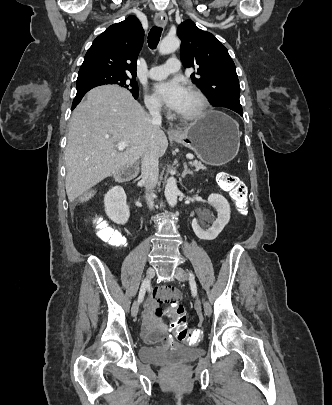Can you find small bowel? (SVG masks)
Here are the masks:
<instances>
[{
    "mask_svg": "<svg viewBox=\"0 0 332 405\" xmlns=\"http://www.w3.org/2000/svg\"><path fill=\"white\" fill-rule=\"evenodd\" d=\"M178 295H182V290H178L177 288H156L153 291L143 314L146 330L144 337L145 344H169V335L157 332L156 320L160 313V306H168L169 299H178L180 303ZM163 321H165L164 312Z\"/></svg>",
    "mask_w": 332,
    "mask_h": 405,
    "instance_id": "obj_1",
    "label": "small bowel"
}]
</instances>
